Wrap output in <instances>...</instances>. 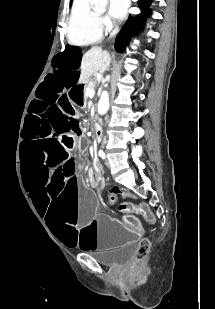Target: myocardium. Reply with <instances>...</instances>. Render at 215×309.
I'll return each mask as SVG.
<instances>
[{
	"label": "myocardium",
	"instance_id": "1",
	"mask_svg": "<svg viewBox=\"0 0 215 309\" xmlns=\"http://www.w3.org/2000/svg\"><path fill=\"white\" fill-rule=\"evenodd\" d=\"M104 25V28L102 30H106L108 28V25L106 23H102Z\"/></svg>",
	"mask_w": 215,
	"mask_h": 309
}]
</instances>
